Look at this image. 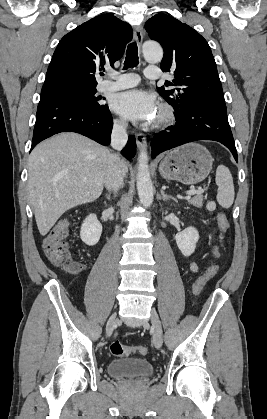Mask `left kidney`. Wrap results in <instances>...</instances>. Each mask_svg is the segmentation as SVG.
<instances>
[{"label":"left kidney","mask_w":267,"mask_h":419,"mask_svg":"<svg viewBox=\"0 0 267 419\" xmlns=\"http://www.w3.org/2000/svg\"><path fill=\"white\" fill-rule=\"evenodd\" d=\"M175 239L181 253L185 257H188L195 251L196 243L199 240V233L194 227L190 226L177 233Z\"/></svg>","instance_id":"obj_1"}]
</instances>
